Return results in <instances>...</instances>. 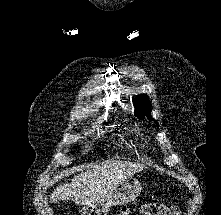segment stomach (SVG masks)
Wrapping results in <instances>:
<instances>
[{"label": "stomach", "mask_w": 221, "mask_h": 215, "mask_svg": "<svg viewBox=\"0 0 221 215\" xmlns=\"http://www.w3.org/2000/svg\"><path fill=\"white\" fill-rule=\"evenodd\" d=\"M141 183L132 177L123 179L100 201L86 205L81 210V215H107L110 208L116 205L130 203L140 194Z\"/></svg>", "instance_id": "stomach-1"}]
</instances>
